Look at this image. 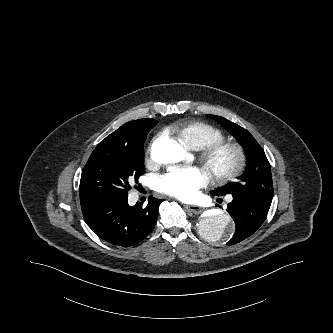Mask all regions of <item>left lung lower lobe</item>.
<instances>
[{
	"label": "left lung lower lobe",
	"mask_w": 333,
	"mask_h": 333,
	"mask_svg": "<svg viewBox=\"0 0 333 333\" xmlns=\"http://www.w3.org/2000/svg\"><path fill=\"white\" fill-rule=\"evenodd\" d=\"M217 196V195H214ZM227 212L233 218L236 231L227 245H234L252 235L264 222L271 201L250 196H232Z\"/></svg>",
	"instance_id": "obj_1"
}]
</instances>
